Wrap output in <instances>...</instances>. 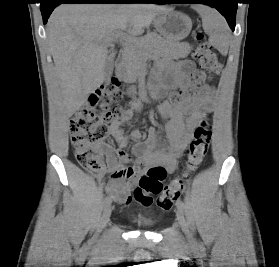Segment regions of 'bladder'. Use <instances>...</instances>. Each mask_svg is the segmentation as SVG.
<instances>
[{"label":"bladder","instance_id":"31cf9c89","mask_svg":"<svg viewBox=\"0 0 279 267\" xmlns=\"http://www.w3.org/2000/svg\"><path fill=\"white\" fill-rule=\"evenodd\" d=\"M135 223L138 226H142V227H151L154 225V221L150 220V219H145V218H140L135 220Z\"/></svg>","mask_w":279,"mask_h":267}]
</instances>
